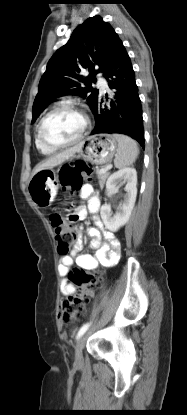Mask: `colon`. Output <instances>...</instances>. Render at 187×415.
Segmentation results:
<instances>
[{
    "mask_svg": "<svg viewBox=\"0 0 187 415\" xmlns=\"http://www.w3.org/2000/svg\"><path fill=\"white\" fill-rule=\"evenodd\" d=\"M93 169L86 165H69L59 173L63 188L73 195L80 191L84 178H91ZM58 244V253L66 255L76 240V232L59 213H52L49 217ZM70 220H74L73 216ZM69 279L77 288V293L61 301V319L69 324L83 317L87 304L93 296V290L101 285L103 276L100 272L74 269Z\"/></svg>",
    "mask_w": 187,
    "mask_h": 415,
    "instance_id": "5ec220e1",
    "label": "colon"
}]
</instances>
